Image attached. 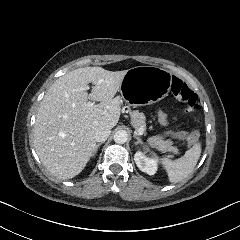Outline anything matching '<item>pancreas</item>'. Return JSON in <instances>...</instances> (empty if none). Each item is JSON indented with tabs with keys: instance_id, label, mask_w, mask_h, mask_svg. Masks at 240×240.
<instances>
[{
	"instance_id": "pancreas-1",
	"label": "pancreas",
	"mask_w": 240,
	"mask_h": 240,
	"mask_svg": "<svg viewBox=\"0 0 240 240\" xmlns=\"http://www.w3.org/2000/svg\"><path fill=\"white\" fill-rule=\"evenodd\" d=\"M131 116V124L132 126L138 130L139 128L146 127V117L143 113H140L138 110L130 112ZM148 144L152 148H156L157 150L161 151L162 153L172 152L173 154H179V150L177 147L173 146V141L170 139L164 140L162 136L156 135L148 138ZM170 158L173 155H169Z\"/></svg>"
}]
</instances>
